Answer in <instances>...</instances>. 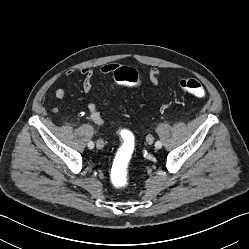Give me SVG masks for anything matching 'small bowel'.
Listing matches in <instances>:
<instances>
[{
    "mask_svg": "<svg viewBox=\"0 0 249 249\" xmlns=\"http://www.w3.org/2000/svg\"><path fill=\"white\" fill-rule=\"evenodd\" d=\"M118 63H108L103 65L100 68V72L103 75H114L115 71L119 68ZM75 73H79L82 76V88L86 94H90L93 91L92 78H93V69L89 67H82L79 69L69 70L66 75L71 76ZM149 81L154 86L157 87L159 84V79L161 77V71L153 67L149 70ZM66 91L63 88H58L55 91V97L58 100H63L65 98ZM57 111L56 108L53 110ZM87 115L88 118L97 126H104L106 124V120L99 112L96 104L94 102H89L87 104Z\"/></svg>",
    "mask_w": 249,
    "mask_h": 249,
    "instance_id": "small-bowel-1",
    "label": "small bowel"
}]
</instances>
